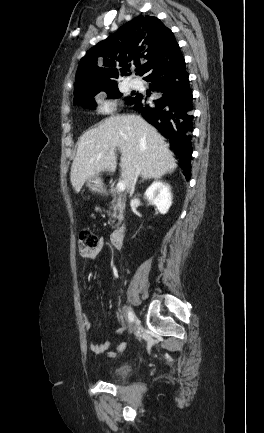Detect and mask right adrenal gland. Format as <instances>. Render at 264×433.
<instances>
[{
  "label": "right adrenal gland",
  "mask_w": 264,
  "mask_h": 433,
  "mask_svg": "<svg viewBox=\"0 0 264 433\" xmlns=\"http://www.w3.org/2000/svg\"><path fill=\"white\" fill-rule=\"evenodd\" d=\"M148 179H151V178H149V177H143L142 180H140L139 183H143L144 181H146V180H148Z\"/></svg>",
  "instance_id": "1"
}]
</instances>
